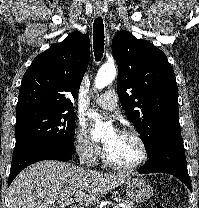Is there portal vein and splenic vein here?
I'll use <instances>...</instances> for the list:
<instances>
[{"label": "portal vein and splenic vein", "mask_w": 199, "mask_h": 208, "mask_svg": "<svg viewBox=\"0 0 199 208\" xmlns=\"http://www.w3.org/2000/svg\"><path fill=\"white\" fill-rule=\"evenodd\" d=\"M73 202H74L73 199H68V200H66L65 203H61V208H64L66 205H70V204H72ZM71 208H76V207H71ZM114 208H119V207H118V206H115Z\"/></svg>", "instance_id": "1"}]
</instances>
